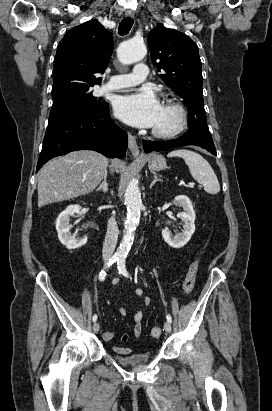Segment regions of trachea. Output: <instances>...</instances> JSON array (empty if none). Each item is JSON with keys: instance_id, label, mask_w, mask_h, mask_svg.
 <instances>
[{"instance_id": "obj_1", "label": "trachea", "mask_w": 272, "mask_h": 411, "mask_svg": "<svg viewBox=\"0 0 272 411\" xmlns=\"http://www.w3.org/2000/svg\"><path fill=\"white\" fill-rule=\"evenodd\" d=\"M134 20L130 17L123 19L118 27V33L120 35H126L129 33L133 26Z\"/></svg>"}]
</instances>
